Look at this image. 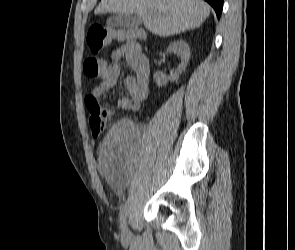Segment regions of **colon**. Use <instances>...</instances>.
Instances as JSON below:
<instances>
[{
	"instance_id": "5ec220e1",
	"label": "colon",
	"mask_w": 295,
	"mask_h": 250,
	"mask_svg": "<svg viewBox=\"0 0 295 250\" xmlns=\"http://www.w3.org/2000/svg\"><path fill=\"white\" fill-rule=\"evenodd\" d=\"M139 30L121 31L108 29L100 25L90 27L87 34V44L93 54L100 52L113 41H122L130 45H136L143 38ZM103 62L95 56L87 57L83 63L84 73L89 78L100 77L103 71ZM85 106L89 113V126L93 137H99L105 130L107 121L112 112L103 108L100 103L90 95L85 99Z\"/></svg>"
}]
</instances>
